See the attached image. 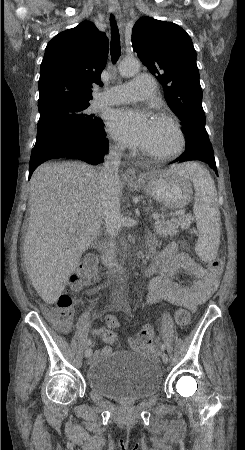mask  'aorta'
Masks as SVG:
<instances>
[{"label": "aorta", "mask_w": 245, "mask_h": 450, "mask_svg": "<svg viewBox=\"0 0 245 450\" xmlns=\"http://www.w3.org/2000/svg\"><path fill=\"white\" fill-rule=\"evenodd\" d=\"M140 69V63L136 59H124L119 64V72L124 77L135 75Z\"/></svg>", "instance_id": "1"}]
</instances>
